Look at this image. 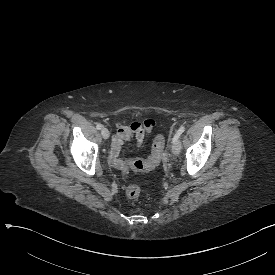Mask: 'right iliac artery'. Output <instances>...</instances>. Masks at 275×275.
Masks as SVG:
<instances>
[{
    "label": "right iliac artery",
    "mask_w": 275,
    "mask_h": 275,
    "mask_svg": "<svg viewBox=\"0 0 275 275\" xmlns=\"http://www.w3.org/2000/svg\"><path fill=\"white\" fill-rule=\"evenodd\" d=\"M102 125L101 124H97V126H96V128L98 129V130H100V129H102Z\"/></svg>",
    "instance_id": "right-iliac-artery-1"
}]
</instances>
